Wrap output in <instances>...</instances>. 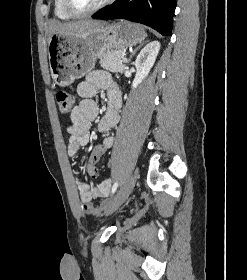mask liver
<instances>
[{"label":"liver","instance_id":"obj_1","mask_svg":"<svg viewBox=\"0 0 247 280\" xmlns=\"http://www.w3.org/2000/svg\"><path fill=\"white\" fill-rule=\"evenodd\" d=\"M105 24L106 23L104 21L97 20H79L65 23L54 21L50 24L48 33L49 36L52 34L82 35Z\"/></svg>","mask_w":247,"mask_h":280}]
</instances>
